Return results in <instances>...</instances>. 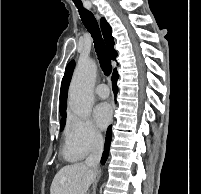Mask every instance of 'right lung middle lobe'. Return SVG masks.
Segmentation results:
<instances>
[{
	"label": "right lung middle lobe",
	"instance_id": "right-lung-middle-lobe-1",
	"mask_svg": "<svg viewBox=\"0 0 201 194\" xmlns=\"http://www.w3.org/2000/svg\"><path fill=\"white\" fill-rule=\"evenodd\" d=\"M65 122H66L65 118H62L61 123H60L61 130L64 128Z\"/></svg>",
	"mask_w": 201,
	"mask_h": 194
}]
</instances>
